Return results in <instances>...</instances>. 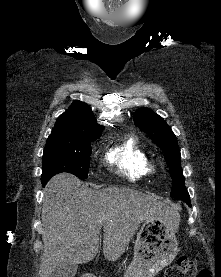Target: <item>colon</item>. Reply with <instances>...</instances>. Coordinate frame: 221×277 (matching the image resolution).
<instances>
[{"label": "colon", "instance_id": "colon-1", "mask_svg": "<svg viewBox=\"0 0 221 277\" xmlns=\"http://www.w3.org/2000/svg\"><path fill=\"white\" fill-rule=\"evenodd\" d=\"M164 277H210V272L198 270L193 259L181 256L175 265L167 269Z\"/></svg>", "mask_w": 221, "mask_h": 277}]
</instances>
